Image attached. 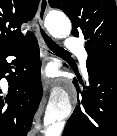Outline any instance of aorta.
<instances>
[{"label":"aorta","mask_w":117,"mask_h":136,"mask_svg":"<svg viewBox=\"0 0 117 136\" xmlns=\"http://www.w3.org/2000/svg\"><path fill=\"white\" fill-rule=\"evenodd\" d=\"M46 28L55 38H65L71 32V22L64 14L51 12L46 19ZM72 111L69 93L61 88H55L50 96L44 115L46 127L62 121Z\"/></svg>","instance_id":"aorta-1"}]
</instances>
